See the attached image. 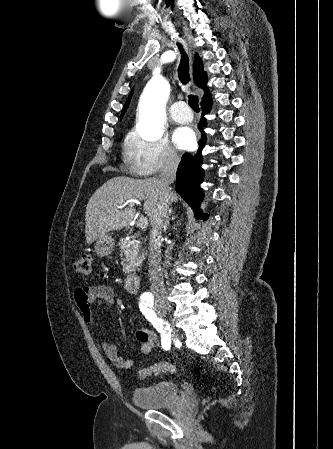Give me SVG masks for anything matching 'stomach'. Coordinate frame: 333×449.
<instances>
[{"instance_id": "0dacf381", "label": "stomach", "mask_w": 333, "mask_h": 449, "mask_svg": "<svg viewBox=\"0 0 333 449\" xmlns=\"http://www.w3.org/2000/svg\"><path fill=\"white\" fill-rule=\"evenodd\" d=\"M95 252L100 256L111 254L114 249V240L110 234H105L95 241Z\"/></svg>"}]
</instances>
